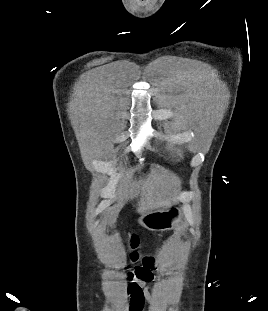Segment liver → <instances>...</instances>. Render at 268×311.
Returning <instances> with one entry per match:
<instances>
[{
    "label": "liver",
    "mask_w": 268,
    "mask_h": 311,
    "mask_svg": "<svg viewBox=\"0 0 268 311\" xmlns=\"http://www.w3.org/2000/svg\"><path fill=\"white\" fill-rule=\"evenodd\" d=\"M171 195L172 186L170 179L165 174L152 170L145 179L140 180L133 179L131 174H127L118 186L117 203L112 208L111 219L118 215L125 201L137 198V212L144 214L169 206Z\"/></svg>",
    "instance_id": "liver-1"
}]
</instances>
